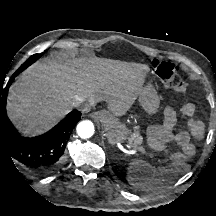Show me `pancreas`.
I'll return each mask as SVG.
<instances>
[{
	"label": "pancreas",
	"mask_w": 216,
	"mask_h": 216,
	"mask_svg": "<svg viewBox=\"0 0 216 216\" xmlns=\"http://www.w3.org/2000/svg\"><path fill=\"white\" fill-rule=\"evenodd\" d=\"M142 136H140L139 132L136 131L129 139L130 144L134 147H139L138 145L142 143ZM142 148V147H141Z\"/></svg>",
	"instance_id": "obj_1"
}]
</instances>
